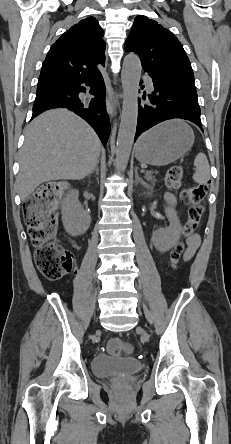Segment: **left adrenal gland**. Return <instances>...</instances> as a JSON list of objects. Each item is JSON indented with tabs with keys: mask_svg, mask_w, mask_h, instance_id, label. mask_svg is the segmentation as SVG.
I'll use <instances>...</instances> for the list:
<instances>
[{
	"mask_svg": "<svg viewBox=\"0 0 231 444\" xmlns=\"http://www.w3.org/2000/svg\"><path fill=\"white\" fill-rule=\"evenodd\" d=\"M140 183L141 185H144L145 187H149L148 183H146L142 178L138 176L137 168L135 170V185Z\"/></svg>",
	"mask_w": 231,
	"mask_h": 444,
	"instance_id": "left-adrenal-gland-1",
	"label": "left adrenal gland"
}]
</instances>
